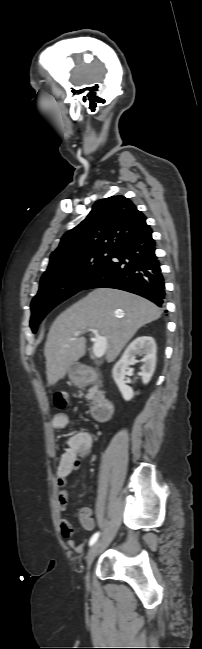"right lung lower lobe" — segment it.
I'll return each mask as SVG.
<instances>
[{
	"label": "right lung lower lobe",
	"mask_w": 202,
	"mask_h": 649,
	"mask_svg": "<svg viewBox=\"0 0 202 649\" xmlns=\"http://www.w3.org/2000/svg\"><path fill=\"white\" fill-rule=\"evenodd\" d=\"M151 228L121 243L110 261L94 276L83 290L107 287L125 290L162 306L165 285L160 263L155 255Z\"/></svg>",
	"instance_id": "1"
}]
</instances>
